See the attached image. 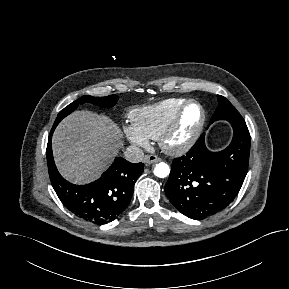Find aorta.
<instances>
[{
  "label": "aorta",
  "instance_id": "aorta-1",
  "mask_svg": "<svg viewBox=\"0 0 289 289\" xmlns=\"http://www.w3.org/2000/svg\"><path fill=\"white\" fill-rule=\"evenodd\" d=\"M170 173V167L167 163L165 162H160L156 164L155 169H154V174L159 177V178H165L169 175Z\"/></svg>",
  "mask_w": 289,
  "mask_h": 289
}]
</instances>
